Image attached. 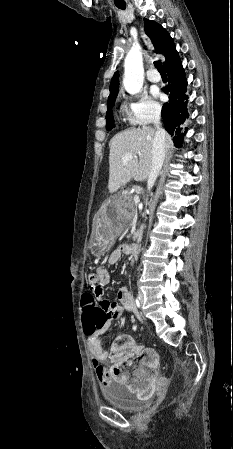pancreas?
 <instances>
[{"label": "pancreas", "mask_w": 233, "mask_h": 449, "mask_svg": "<svg viewBox=\"0 0 233 449\" xmlns=\"http://www.w3.org/2000/svg\"><path fill=\"white\" fill-rule=\"evenodd\" d=\"M119 210L124 218H129L135 213V204L131 195H122L119 201Z\"/></svg>", "instance_id": "pancreas-1"}]
</instances>
